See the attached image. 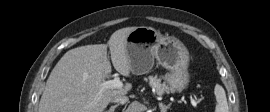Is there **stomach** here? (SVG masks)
<instances>
[{"mask_svg":"<svg viewBox=\"0 0 270 112\" xmlns=\"http://www.w3.org/2000/svg\"><path fill=\"white\" fill-rule=\"evenodd\" d=\"M126 48L133 74L148 73L156 59L170 71L165 75L170 90L181 92L188 87L189 53L177 38L164 36L154 28L141 26L128 35Z\"/></svg>","mask_w":270,"mask_h":112,"instance_id":"1","label":"stomach"}]
</instances>
